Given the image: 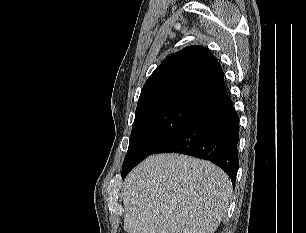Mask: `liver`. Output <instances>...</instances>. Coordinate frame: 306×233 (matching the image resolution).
I'll return each instance as SVG.
<instances>
[{
  "mask_svg": "<svg viewBox=\"0 0 306 233\" xmlns=\"http://www.w3.org/2000/svg\"><path fill=\"white\" fill-rule=\"evenodd\" d=\"M122 195L128 233H214L228 209L232 183L211 162L157 154L132 170Z\"/></svg>",
  "mask_w": 306,
  "mask_h": 233,
  "instance_id": "6515ba94",
  "label": "liver"
}]
</instances>
